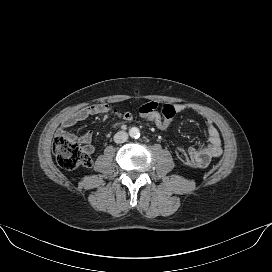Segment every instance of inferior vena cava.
Returning <instances> with one entry per match:
<instances>
[{"mask_svg":"<svg viewBox=\"0 0 272 272\" xmlns=\"http://www.w3.org/2000/svg\"><path fill=\"white\" fill-rule=\"evenodd\" d=\"M128 139V134L125 131H119L114 135L115 143H124Z\"/></svg>","mask_w":272,"mask_h":272,"instance_id":"602c4592","label":"inferior vena cava"}]
</instances>
